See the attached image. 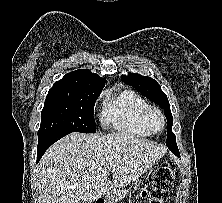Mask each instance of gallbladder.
I'll list each match as a JSON object with an SVG mask.
<instances>
[{
	"label": "gallbladder",
	"mask_w": 222,
	"mask_h": 203,
	"mask_svg": "<svg viewBox=\"0 0 222 203\" xmlns=\"http://www.w3.org/2000/svg\"><path fill=\"white\" fill-rule=\"evenodd\" d=\"M81 203H90L89 201H82Z\"/></svg>",
	"instance_id": "1"
}]
</instances>
